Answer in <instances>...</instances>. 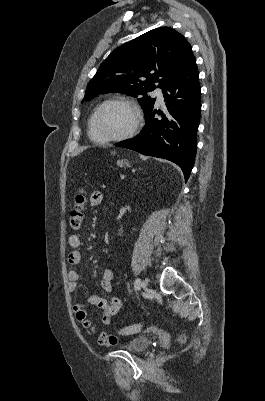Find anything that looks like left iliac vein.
<instances>
[{"mask_svg": "<svg viewBox=\"0 0 265 401\" xmlns=\"http://www.w3.org/2000/svg\"><path fill=\"white\" fill-rule=\"evenodd\" d=\"M143 289L147 290V283L146 282H142L141 286Z\"/></svg>", "mask_w": 265, "mask_h": 401, "instance_id": "obj_1", "label": "left iliac vein"}]
</instances>
